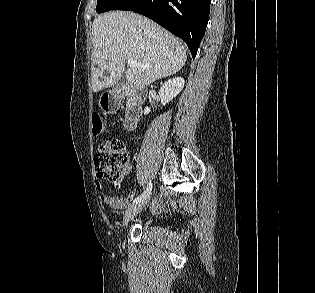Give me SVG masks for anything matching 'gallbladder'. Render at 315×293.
I'll return each mask as SVG.
<instances>
[{
	"label": "gallbladder",
	"instance_id": "obj_1",
	"mask_svg": "<svg viewBox=\"0 0 315 293\" xmlns=\"http://www.w3.org/2000/svg\"><path fill=\"white\" fill-rule=\"evenodd\" d=\"M106 75H109V73H108V72H106Z\"/></svg>",
	"mask_w": 315,
	"mask_h": 293
}]
</instances>
